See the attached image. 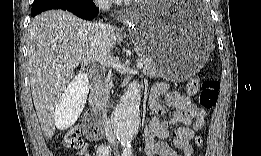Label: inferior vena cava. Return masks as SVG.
<instances>
[{
	"mask_svg": "<svg viewBox=\"0 0 261 156\" xmlns=\"http://www.w3.org/2000/svg\"><path fill=\"white\" fill-rule=\"evenodd\" d=\"M98 5L99 8L103 10L109 9L110 7L108 1H99ZM108 28L109 26L107 24L103 22H96L93 24L91 29V34L93 37V43L96 48L98 61L103 65H107L111 61L110 48L107 43ZM105 132L108 142L115 143L116 136L112 130L109 119H106L105 122Z\"/></svg>",
	"mask_w": 261,
	"mask_h": 156,
	"instance_id": "602c4592",
	"label": "inferior vena cava"
}]
</instances>
